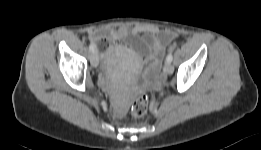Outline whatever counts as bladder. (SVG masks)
<instances>
[{"label":"bladder","instance_id":"obj_1","mask_svg":"<svg viewBox=\"0 0 261 150\" xmlns=\"http://www.w3.org/2000/svg\"><path fill=\"white\" fill-rule=\"evenodd\" d=\"M112 64H113V59H109V60H108V65H109V66H112Z\"/></svg>","mask_w":261,"mask_h":150}]
</instances>
